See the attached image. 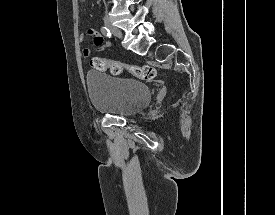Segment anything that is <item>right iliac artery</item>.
Wrapping results in <instances>:
<instances>
[{
	"instance_id": "right-iliac-artery-1",
	"label": "right iliac artery",
	"mask_w": 275,
	"mask_h": 215,
	"mask_svg": "<svg viewBox=\"0 0 275 215\" xmlns=\"http://www.w3.org/2000/svg\"><path fill=\"white\" fill-rule=\"evenodd\" d=\"M101 32L106 37H110L111 36L110 30L107 27H105V26L101 27Z\"/></svg>"
}]
</instances>
